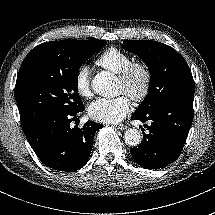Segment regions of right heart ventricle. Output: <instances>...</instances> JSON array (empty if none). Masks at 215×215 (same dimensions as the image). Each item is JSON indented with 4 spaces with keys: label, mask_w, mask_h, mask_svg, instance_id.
Wrapping results in <instances>:
<instances>
[{
    "label": "right heart ventricle",
    "mask_w": 215,
    "mask_h": 215,
    "mask_svg": "<svg viewBox=\"0 0 215 215\" xmlns=\"http://www.w3.org/2000/svg\"><path fill=\"white\" fill-rule=\"evenodd\" d=\"M130 61L131 54L118 47H108L96 59L95 64L100 68L118 74Z\"/></svg>",
    "instance_id": "1"
}]
</instances>
